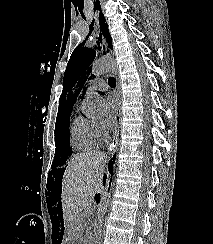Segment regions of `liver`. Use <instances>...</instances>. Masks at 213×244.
Instances as JSON below:
<instances>
[{
  "instance_id": "obj_1",
  "label": "liver",
  "mask_w": 213,
  "mask_h": 244,
  "mask_svg": "<svg viewBox=\"0 0 213 244\" xmlns=\"http://www.w3.org/2000/svg\"><path fill=\"white\" fill-rule=\"evenodd\" d=\"M106 156L102 152L80 154L68 163L62 180V209L64 222L71 234L73 221L95 194L103 191Z\"/></svg>"
}]
</instances>
